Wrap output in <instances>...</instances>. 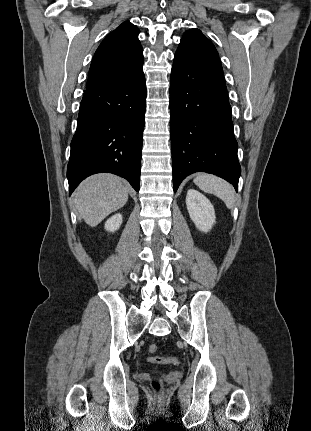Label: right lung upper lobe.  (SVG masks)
I'll list each match as a JSON object with an SVG mask.
<instances>
[{
    "instance_id": "1",
    "label": "right lung upper lobe",
    "mask_w": 311,
    "mask_h": 431,
    "mask_svg": "<svg viewBox=\"0 0 311 431\" xmlns=\"http://www.w3.org/2000/svg\"><path fill=\"white\" fill-rule=\"evenodd\" d=\"M139 30L123 22L99 45L89 69L87 88L126 79L143 65Z\"/></svg>"
}]
</instances>
